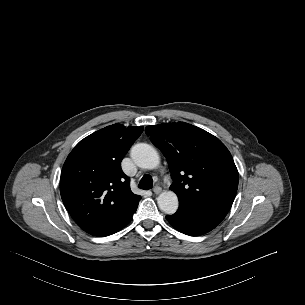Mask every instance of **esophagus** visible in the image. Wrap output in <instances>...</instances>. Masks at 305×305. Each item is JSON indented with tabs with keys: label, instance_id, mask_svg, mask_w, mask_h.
<instances>
[{
	"label": "esophagus",
	"instance_id": "34e87169",
	"mask_svg": "<svg viewBox=\"0 0 305 305\" xmlns=\"http://www.w3.org/2000/svg\"><path fill=\"white\" fill-rule=\"evenodd\" d=\"M161 191H162V189H161V187H159V186H155V187L153 188L154 194H159V193H161Z\"/></svg>",
	"mask_w": 305,
	"mask_h": 305
}]
</instances>
